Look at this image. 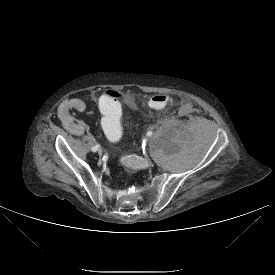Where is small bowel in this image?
I'll use <instances>...</instances> for the list:
<instances>
[{
	"instance_id": "c3829d8e",
	"label": "small bowel",
	"mask_w": 275,
	"mask_h": 275,
	"mask_svg": "<svg viewBox=\"0 0 275 275\" xmlns=\"http://www.w3.org/2000/svg\"><path fill=\"white\" fill-rule=\"evenodd\" d=\"M83 103L79 99H72L63 101L58 108V117L62 120V123L66 128L76 136H80L84 132V125L75 119L73 114H79L83 111Z\"/></svg>"
}]
</instances>
